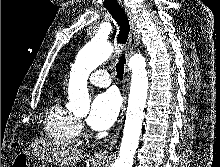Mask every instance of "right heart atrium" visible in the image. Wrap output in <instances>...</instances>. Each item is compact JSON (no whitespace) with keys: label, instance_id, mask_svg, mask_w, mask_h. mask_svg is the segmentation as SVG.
<instances>
[{"label":"right heart atrium","instance_id":"d8ad5b80","mask_svg":"<svg viewBox=\"0 0 220 167\" xmlns=\"http://www.w3.org/2000/svg\"><path fill=\"white\" fill-rule=\"evenodd\" d=\"M78 123H79V128L81 129L82 128V124L80 122H78Z\"/></svg>","mask_w":220,"mask_h":167}]
</instances>
